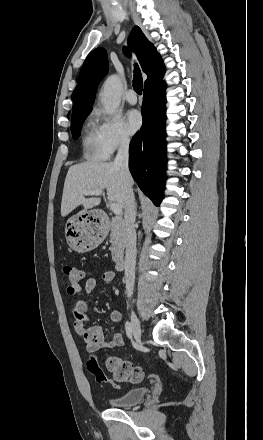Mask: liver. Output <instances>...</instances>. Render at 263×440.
Instances as JSON below:
<instances>
[{"label":"liver","mask_w":263,"mask_h":440,"mask_svg":"<svg viewBox=\"0 0 263 440\" xmlns=\"http://www.w3.org/2000/svg\"><path fill=\"white\" fill-rule=\"evenodd\" d=\"M107 191V199L118 203L122 208V179L120 169L112 162L89 161L73 165L69 168L61 201V216L65 217L79 205L83 210L78 214L100 204V198H85V192L95 190Z\"/></svg>","instance_id":"obj_1"}]
</instances>
